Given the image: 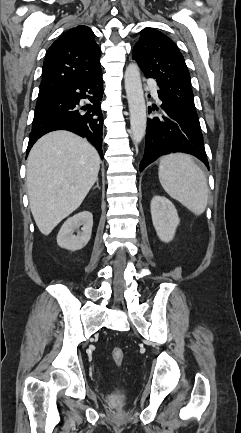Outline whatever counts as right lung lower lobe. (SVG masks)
<instances>
[{
    "mask_svg": "<svg viewBox=\"0 0 241 433\" xmlns=\"http://www.w3.org/2000/svg\"><path fill=\"white\" fill-rule=\"evenodd\" d=\"M102 96V72L86 80L66 83L47 94L35 107L27 154L44 134L54 130H68L87 138L103 158V115L100 110ZM85 98L91 104L79 107L80 100Z\"/></svg>",
    "mask_w": 241,
    "mask_h": 433,
    "instance_id": "right-lung-lower-lobe-1",
    "label": "right lung lower lobe"
}]
</instances>
